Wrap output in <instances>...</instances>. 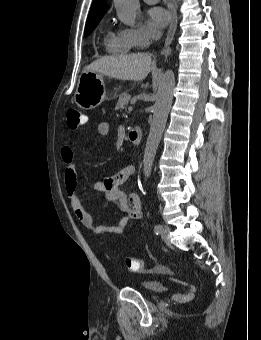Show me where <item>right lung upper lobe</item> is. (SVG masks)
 <instances>
[{"label": "right lung upper lobe", "mask_w": 261, "mask_h": 340, "mask_svg": "<svg viewBox=\"0 0 261 340\" xmlns=\"http://www.w3.org/2000/svg\"><path fill=\"white\" fill-rule=\"evenodd\" d=\"M106 0H94L90 9L87 23L102 19L105 12Z\"/></svg>", "instance_id": "right-lung-upper-lobe-1"}]
</instances>
